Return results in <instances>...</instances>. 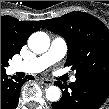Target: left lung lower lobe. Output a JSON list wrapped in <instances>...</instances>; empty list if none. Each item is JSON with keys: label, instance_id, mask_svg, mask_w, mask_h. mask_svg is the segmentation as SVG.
I'll return each instance as SVG.
<instances>
[{"label": "left lung lower lobe", "instance_id": "0a47b994", "mask_svg": "<svg viewBox=\"0 0 109 109\" xmlns=\"http://www.w3.org/2000/svg\"><path fill=\"white\" fill-rule=\"evenodd\" d=\"M108 95L109 80L98 76L76 77L75 82L65 86L61 99L52 103V107L53 109H98Z\"/></svg>", "mask_w": 109, "mask_h": 109}]
</instances>
